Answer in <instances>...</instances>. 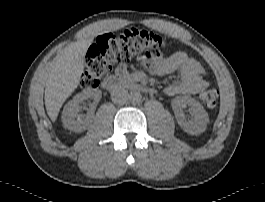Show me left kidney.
<instances>
[{"label":"left kidney","instance_id":"obj_1","mask_svg":"<svg viewBox=\"0 0 265 202\" xmlns=\"http://www.w3.org/2000/svg\"><path fill=\"white\" fill-rule=\"evenodd\" d=\"M189 106L192 118L187 120L183 108ZM172 108L180 127L190 135H199L206 130L209 117L204 107L189 96H179L172 100Z\"/></svg>","mask_w":265,"mask_h":202}]
</instances>
